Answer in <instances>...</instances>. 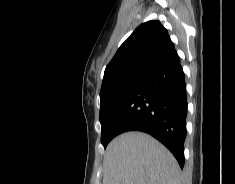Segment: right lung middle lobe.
<instances>
[{"instance_id": "obj_1", "label": "right lung middle lobe", "mask_w": 235, "mask_h": 184, "mask_svg": "<svg viewBox=\"0 0 235 184\" xmlns=\"http://www.w3.org/2000/svg\"><path fill=\"white\" fill-rule=\"evenodd\" d=\"M143 78H132L118 87L106 91L101 97L100 123L102 128L101 143L104 148L116 136L111 129L121 108L131 92L141 84Z\"/></svg>"}]
</instances>
